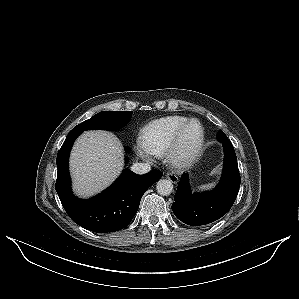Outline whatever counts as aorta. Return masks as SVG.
Masks as SVG:
<instances>
[{
	"mask_svg": "<svg viewBox=\"0 0 299 299\" xmlns=\"http://www.w3.org/2000/svg\"><path fill=\"white\" fill-rule=\"evenodd\" d=\"M156 190L160 195L168 196L173 191V184L168 179H160L156 184Z\"/></svg>",
	"mask_w": 299,
	"mask_h": 299,
	"instance_id": "obj_1",
	"label": "aorta"
}]
</instances>
